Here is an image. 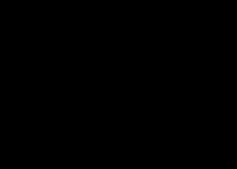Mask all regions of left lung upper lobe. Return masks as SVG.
I'll return each instance as SVG.
<instances>
[{
    "instance_id": "obj_1",
    "label": "left lung upper lobe",
    "mask_w": 237,
    "mask_h": 169,
    "mask_svg": "<svg viewBox=\"0 0 237 169\" xmlns=\"http://www.w3.org/2000/svg\"><path fill=\"white\" fill-rule=\"evenodd\" d=\"M130 42L143 54L152 101L192 115L195 107L196 71L185 48L158 32L136 31Z\"/></svg>"
}]
</instances>
